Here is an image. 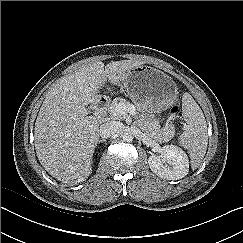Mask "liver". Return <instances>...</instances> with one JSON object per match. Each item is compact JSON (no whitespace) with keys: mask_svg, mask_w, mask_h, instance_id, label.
Segmentation results:
<instances>
[{"mask_svg":"<svg viewBox=\"0 0 243 243\" xmlns=\"http://www.w3.org/2000/svg\"><path fill=\"white\" fill-rule=\"evenodd\" d=\"M142 64L139 60L106 66L94 62L63 77L48 91L35 122L34 142L38 160L51 176L68 184L90 176L100 123L88 116L86 107L107 81L117 85Z\"/></svg>","mask_w":243,"mask_h":243,"instance_id":"1","label":"liver"}]
</instances>
